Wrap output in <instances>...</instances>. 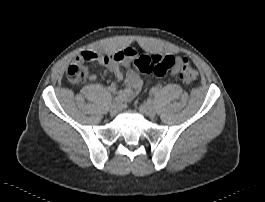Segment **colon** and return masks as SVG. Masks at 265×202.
I'll list each match as a JSON object with an SVG mask.
<instances>
[{
	"instance_id": "5ec220e1",
	"label": "colon",
	"mask_w": 265,
	"mask_h": 202,
	"mask_svg": "<svg viewBox=\"0 0 265 202\" xmlns=\"http://www.w3.org/2000/svg\"><path fill=\"white\" fill-rule=\"evenodd\" d=\"M132 51L123 50L117 55V58H122L124 55H133ZM176 60L172 56H161L156 54H143L133 61L135 71L146 74L155 75L158 77L164 76L169 70L173 69ZM67 78L72 83H80L84 79L85 71L79 64H71L66 71ZM179 80L184 84H191L199 79V74L194 65L187 59H182L180 62V71L178 73Z\"/></svg>"
}]
</instances>
